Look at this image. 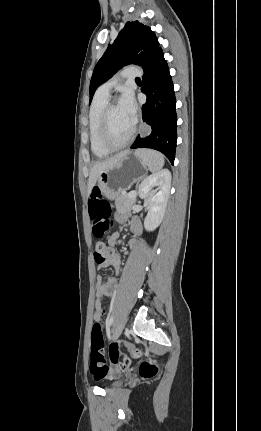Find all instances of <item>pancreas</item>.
I'll return each instance as SVG.
<instances>
[{
    "mask_svg": "<svg viewBox=\"0 0 261 431\" xmlns=\"http://www.w3.org/2000/svg\"><path fill=\"white\" fill-rule=\"evenodd\" d=\"M136 203V196L129 198V194H118L115 196V206L118 212H128Z\"/></svg>",
    "mask_w": 261,
    "mask_h": 431,
    "instance_id": "cf45deb5",
    "label": "pancreas"
}]
</instances>
